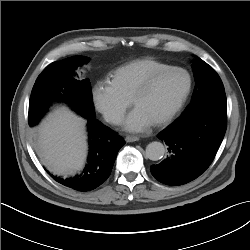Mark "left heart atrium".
Returning a JSON list of instances; mask_svg holds the SVG:
<instances>
[{"label": "left heart atrium", "mask_w": 250, "mask_h": 250, "mask_svg": "<svg viewBox=\"0 0 250 250\" xmlns=\"http://www.w3.org/2000/svg\"><path fill=\"white\" fill-rule=\"evenodd\" d=\"M153 122L145 115V113L135 107L125 120V129L131 132H142L147 130Z\"/></svg>", "instance_id": "obj_1"}]
</instances>
